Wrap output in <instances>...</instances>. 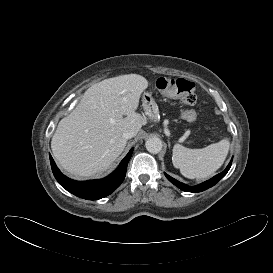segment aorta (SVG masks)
Here are the masks:
<instances>
[{"instance_id": "aorta-1", "label": "aorta", "mask_w": 273, "mask_h": 273, "mask_svg": "<svg viewBox=\"0 0 273 273\" xmlns=\"http://www.w3.org/2000/svg\"><path fill=\"white\" fill-rule=\"evenodd\" d=\"M145 146L147 151L152 154L159 153L163 148L162 141L158 137H152L147 139V141L145 142Z\"/></svg>"}]
</instances>
